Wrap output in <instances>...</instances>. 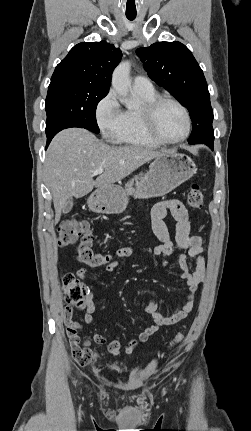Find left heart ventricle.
Masks as SVG:
<instances>
[{
    "instance_id": "1",
    "label": "left heart ventricle",
    "mask_w": 251,
    "mask_h": 431,
    "mask_svg": "<svg viewBox=\"0 0 251 431\" xmlns=\"http://www.w3.org/2000/svg\"><path fill=\"white\" fill-rule=\"evenodd\" d=\"M156 126L163 138L175 140L184 134L185 118L177 106L166 103L161 106L157 113Z\"/></svg>"
}]
</instances>
